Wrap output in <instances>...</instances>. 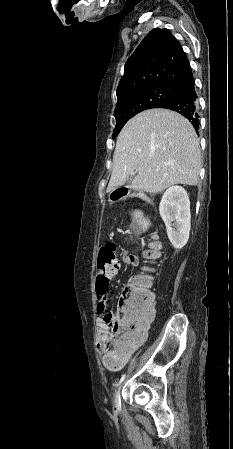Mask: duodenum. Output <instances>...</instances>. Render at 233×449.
Segmentation results:
<instances>
[{
	"instance_id": "1",
	"label": "duodenum",
	"mask_w": 233,
	"mask_h": 449,
	"mask_svg": "<svg viewBox=\"0 0 233 449\" xmlns=\"http://www.w3.org/2000/svg\"><path fill=\"white\" fill-rule=\"evenodd\" d=\"M131 193V188L129 186H122L120 188V191H116L114 193V198L116 199H112L111 203L112 204H123L124 203V198L125 195H129Z\"/></svg>"
}]
</instances>
